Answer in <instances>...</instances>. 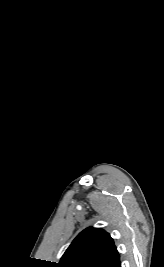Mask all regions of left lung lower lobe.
<instances>
[{
	"label": "left lung lower lobe",
	"mask_w": 164,
	"mask_h": 267,
	"mask_svg": "<svg viewBox=\"0 0 164 267\" xmlns=\"http://www.w3.org/2000/svg\"><path fill=\"white\" fill-rule=\"evenodd\" d=\"M107 267H121L119 254L114 257V259L107 265Z\"/></svg>",
	"instance_id": "obj_1"
}]
</instances>
